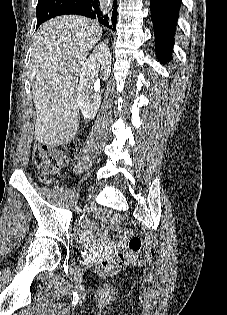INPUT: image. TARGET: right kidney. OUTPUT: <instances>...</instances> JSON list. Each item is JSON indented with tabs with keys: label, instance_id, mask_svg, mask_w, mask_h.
I'll use <instances>...</instances> for the list:
<instances>
[{
	"label": "right kidney",
	"instance_id": "1",
	"mask_svg": "<svg viewBox=\"0 0 227 315\" xmlns=\"http://www.w3.org/2000/svg\"><path fill=\"white\" fill-rule=\"evenodd\" d=\"M100 73L103 80H107L111 73V54L108 46L100 42L94 48L82 66L80 83L77 87V104L85 119H93L100 107L101 96L98 93L93 95L94 76Z\"/></svg>",
	"mask_w": 227,
	"mask_h": 315
}]
</instances>
